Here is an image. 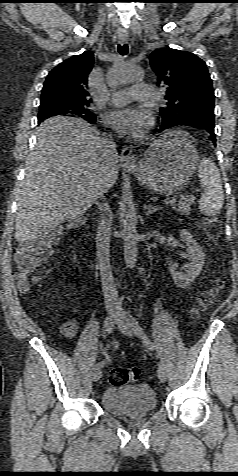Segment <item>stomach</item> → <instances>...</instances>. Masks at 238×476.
Instances as JSON below:
<instances>
[{"label":"stomach","instance_id":"stomach-1","mask_svg":"<svg viewBox=\"0 0 238 476\" xmlns=\"http://www.w3.org/2000/svg\"><path fill=\"white\" fill-rule=\"evenodd\" d=\"M198 161L194 144L183 132L172 130L154 140L130 171L150 190L172 194L186 185Z\"/></svg>","mask_w":238,"mask_h":476}]
</instances>
